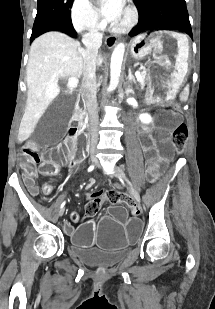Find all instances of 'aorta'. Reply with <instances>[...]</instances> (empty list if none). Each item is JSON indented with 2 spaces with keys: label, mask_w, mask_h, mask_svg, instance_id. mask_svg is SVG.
I'll list each match as a JSON object with an SVG mask.
<instances>
[{
  "label": "aorta",
  "mask_w": 215,
  "mask_h": 309,
  "mask_svg": "<svg viewBox=\"0 0 215 309\" xmlns=\"http://www.w3.org/2000/svg\"><path fill=\"white\" fill-rule=\"evenodd\" d=\"M125 52V44L124 42H119V44H116L112 56H111V62H110V84L107 88V90H114L116 86H118L119 82V76L121 72V64L123 60Z\"/></svg>",
  "instance_id": "1"
}]
</instances>
